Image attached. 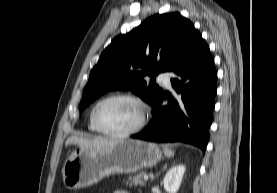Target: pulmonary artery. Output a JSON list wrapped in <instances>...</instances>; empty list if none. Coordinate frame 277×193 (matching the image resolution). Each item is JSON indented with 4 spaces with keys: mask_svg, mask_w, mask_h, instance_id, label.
Returning a JSON list of instances; mask_svg holds the SVG:
<instances>
[{
    "mask_svg": "<svg viewBox=\"0 0 277 193\" xmlns=\"http://www.w3.org/2000/svg\"><path fill=\"white\" fill-rule=\"evenodd\" d=\"M158 81L161 82L165 87H171V76L168 73L162 72L158 75Z\"/></svg>",
    "mask_w": 277,
    "mask_h": 193,
    "instance_id": "pulmonary-artery-1",
    "label": "pulmonary artery"
}]
</instances>
